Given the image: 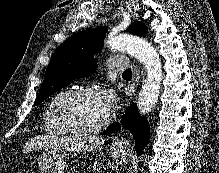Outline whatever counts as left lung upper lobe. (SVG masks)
<instances>
[{
    "label": "left lung upper lobe",
    "mask_w": 219,
    "mask_h": 173,
    "mask_svg": "<svg viewBox=\"0 0 219 173\" xmlns=\"http://www.w3.org/2000/svg\"><path fill=\"white\" fill-rule=\"evenodd\" d=\"M125 31L146 35L148 29L142 22H135ZM106 32L107 27L81 31L55 50L46 68L44 81L34 105L39 104L74 79L95 72L97 59L94 55L102 50Z\"/></svg>",
    "instance_id": "1"
}]
</instances>
